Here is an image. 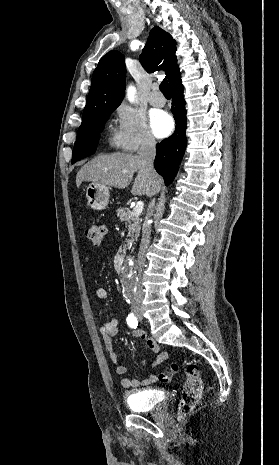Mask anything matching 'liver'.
<instances>
[{"label": "liver", "instance_id": "obj_1", "mask_svg": "<svg viewBox=\"0 0 279 465\" xmlns=\"http://www.w3.org/2000/svg\"><path fill=\"white\" fill-rule=\"evenodd\" d=\"M131 193L133 195H148L150 191L158 192L161 179L158 174L153 175L146 169L143 161L137 155L113 153L98 155L86 163L76 175V185L80 187L84 181L112 186L118 189L126 188L133 179Z\"/></svg>", "mask_w": 279, "mask_h": 465}]
</instances>
